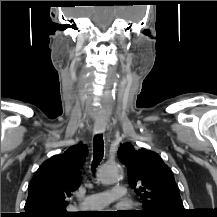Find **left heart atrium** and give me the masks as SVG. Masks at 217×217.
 <instances>
[{"label":"left heart atrium","mask_w":217,"mask_h":217,"mask_svg":"<svg viewBox=\"0 0 217 217\" xmlns=\"http://www.w3.org/2000/svg\"><path fill=\"white\" fill-rule=\"evenodd\" d=\"M118 213L117 212H109V213H105L104 217H118L116 216Z\"/></svg>","instance_id":"left-heart-atrium-1"}]
</instances>
